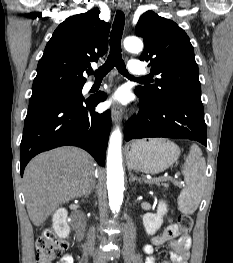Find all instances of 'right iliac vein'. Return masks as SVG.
Instances as JSON below:
<instances>
[{"mask_svg": "<svg viewBox=\"0 0 233 263\" xmlns=\"http://www.w3.org/2000/svg\"><path fill=\"white\" fill-rule=\"evenodd\" d=\"M94 263H102V262L94 261Z\"/></svg>", "mask_w": 233, "mask_h": 263, "instance_id": "obj_1", "label": "right iliac vein"}]
</instances>
